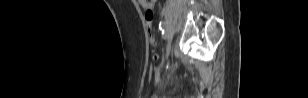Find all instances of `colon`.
I'll return each instance as SVG.
<instances>
[{
  "instance_id": "5ec220e1",
  "label": "colon",
  "mask_w": 308,
  "mask_h": 98,
  "mask_svg": "<svg viewBox=\"0 0 308 98\" xmlns=\"http://www.w3.org/2000/svg\"><path fill=\"white\" fill-rule=\"evenodd\" d=\"M153 11L146 10L145 12V21H146V28L149 36V40L152 46L156 45V37L153 30Z\"/></svg>"
}]
</instances>
